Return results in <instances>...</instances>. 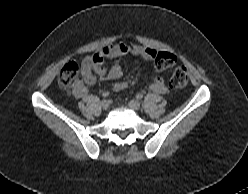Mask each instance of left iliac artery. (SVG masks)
<instances>
[{"instance_id":"44dca946","label":"left iliac artery","mask_w":248,"mask_h":194,"mask_svg":"<svg viewBox=\"0 0 248 194\" xmlns=\"http://www.w3.org/2000/svg\"><path fill=\"white\" fill-rule=\"evenodd\" d=\"M136 98L140 100V99L143 98V95H142L141 93H138V94L136 95Z\"/></svg>"}]
</instances>
